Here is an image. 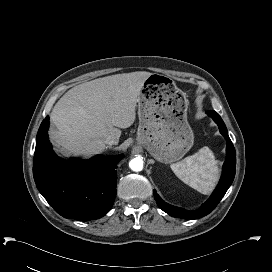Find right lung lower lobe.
<instances>
[{"label": "right lung lower lobe", "instance_id": "98d812e1", "mask_svg": "<svg viewBox=\"0 0 272 272\" xmlns=\"http://www.w3.org/2000/svg\"><path fill=\"white\" fill-rule=\"evenodd\" d=\"M48 126L47 116L40 125L33 158V175L38 190L65 218L81 221L101 218L115 200V163L123 155L65 161L52 150Z\"/></svg>", "mask_w": 272, "mask_h": 272}]
</instances>
